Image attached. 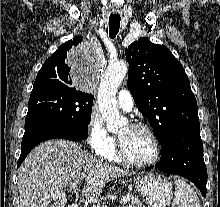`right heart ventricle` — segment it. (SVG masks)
<instances>
[{
  "mask_svg": "<svg viewBox=\"0 0 220 207\" xmlns=\"http://www.w3.org/2000/svg\"><path fill=\"white\" fill-rule=\"evenodd\" d=\"M98 155L111 162H120V159L116 154L115 143L105 151L99 153Z\"/></svg>",
  "mask_w": 220,
  "mask_h": 207,
  "instance_id": "right-heart-ventricle-1",
  "label": "right heart ventricle"
}]
</instances>
